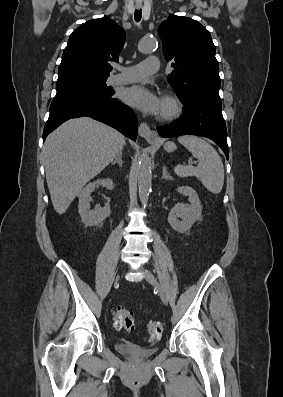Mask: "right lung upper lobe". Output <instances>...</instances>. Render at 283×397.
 Masks as SVG:
<instances>
[{
  "mask_svg": "<svg viewBox=\"0 0 283 397\" xmlns=\"http://www.w3.org/2000/svg\"><path fill=\"white\" fill-rule=\"evenodd\" d=\"M125 31L108 16L89 20L75 29L64 49L58 80L72 77H108L111 61L118 62Z\"/></svg>",
  "mask_w": 283,
  "mask_h": 397,
  "instance_id": "1",
  "label": "right lung upper lobe"
}]
</instances>
